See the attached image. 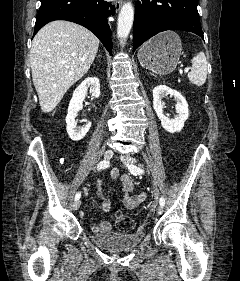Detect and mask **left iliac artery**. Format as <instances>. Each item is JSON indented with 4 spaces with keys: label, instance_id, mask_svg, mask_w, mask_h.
<instances>
[{
    "label": "left iliac artery",
    "instance_id": "44dca946",
    "mask_svg": "<svg viewBox=\"0 0 240 281\" xmlns=\"http://www.w3.org/2000/svg\"><path fill=\"white\" fill-rule=\"evenodd\" d=\"M129 171L133 175H140L144 173V170L135 166V165H129L128 166ZM160 205L163 207L165 205V199L163 197L160 198L159 200Z\"/></svg>",
    "mask_w": 240,
    "mask_h": 281
}]
</instances>
